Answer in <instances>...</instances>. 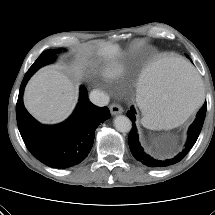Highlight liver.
Returning a JSON list of instances; mask_svg holds the SVG:
<instances>
[{
	"label": "liver",
	"instance_id": "1",
	"mask_svg": "<svg viewBox=\"0 0 215 215\" xmlns=\"http://www.w3.org/2000/svg\"><path fill=\"white\" fill-rule=\"evenodd\" d=\"M99 54L109 60L120 54L117 44L102 43ZM76 76L78 68L73 69ZM78 87L68 74L55 67L40 69L28 82L24 92V105L38 121L55 124L65 120L75 108Z\"/></svg>",
	"mask_w": 215,
	"mask_h": 215
}]
</instances>
